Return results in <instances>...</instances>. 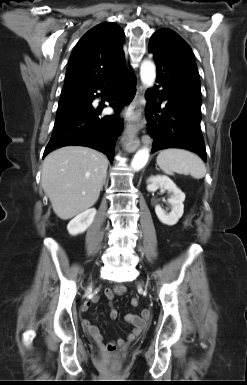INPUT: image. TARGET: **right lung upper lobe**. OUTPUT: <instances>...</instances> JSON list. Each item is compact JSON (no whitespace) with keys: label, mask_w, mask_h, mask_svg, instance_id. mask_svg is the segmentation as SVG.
Instances as JSON below:
<instances>
[{"label":"right lung upper lobe","mask_w":247,"mask_h":385,"mask_svg":"<svg viewBox=\"0 0 247 385\" xmlns=\"http://www.w3.org/2000/svg\"><path fill=\"white\" fill-rule=\"evenodd\" d=\"M124 37L122 28L111 22L89 30L72 51L62 92L90 91L119 74L126 67Z\"/></svg>","instance_id":"1"}]
</instances>
